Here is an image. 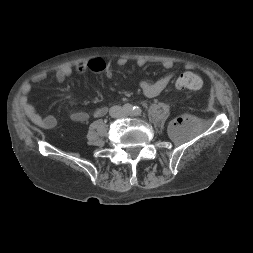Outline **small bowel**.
I'll use <instances>...</instances> for the list:
<instances>
[{
    "instance_id": "obj_1",
    "label": "small bowel",
    "mask_w": 253,
    "mask_h": 253,
    "mask_svg": "<svg viewBox=\"0 0 253 253\" xmlns=\"http://www.w3.org/2000/svg\"><path fill=\"white\" fill-rule=\"evenodd\" d=\"M89 62H78L74 69L71 66H64L58 69L55 73V79L58 82L65 81L75 70L78 73H85L86 71L90 70L88 66ZM116 65L124 66L128 63V59L125 57H120L115 61ZM138 66H144L146 64V60L144 58H139L136 61ZM161 65L165 69H172L173 62L171 60H163ZM190 68V66H188ZM106 76L112 77V68L110 65H107ZM176 74L171 72L163 75L159 79L155 81H143L140 84L141 90L143 93L149 97L153 98L162 93V91L172 82L174 81ZM45 79V74H39L33 78L35 83L41 82ZM32 87L30 84H26L22 89V95L20 98L21 107L26 115V117L36 126L49 130L56 126L57 120L53 115H42L40 114L35 106L30 102L29 95L31 93ZM107 113V108L104 106L96 108L93 112L89 113L82 110L73 111L70 114V118L74 122H86L90 118H101Z\"/></svg>"
}]
</instances>
